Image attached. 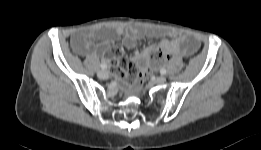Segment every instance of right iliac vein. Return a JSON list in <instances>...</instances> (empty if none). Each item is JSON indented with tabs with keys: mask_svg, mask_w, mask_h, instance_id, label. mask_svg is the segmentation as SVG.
Instances as JSON below:
<instances>
[{
	"mask_svg": "<svg viewBox=\"0 0 261 150\" xmlns=\"http://www.w3.org/2000/svg\"><path fill=\"white\" fill-rule=\"evenodd\" d=\"M97 76L100 78V79H107L109 77V73L108 71L106 70H101L97 73Z\"/></svg>",
	"mask_w": 261,
	"mask_h": 150,
	"instance_id": "obj_1",
	"label": "right iliac vein"
}]
</instances>
